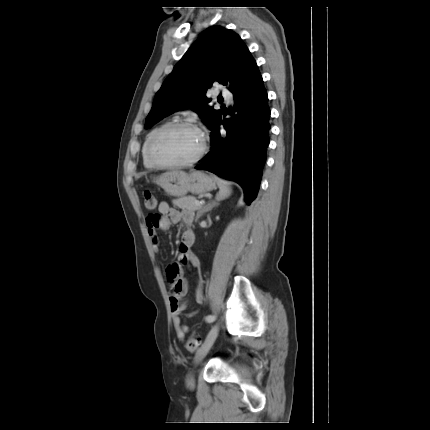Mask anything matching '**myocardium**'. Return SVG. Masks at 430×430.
<instances>
[{"mask_svg": "<svg viewBox=\"0 0 430 430\" xmlns=\"http://www.w3.org/2000/svg\"><path fill=\"white\" fill-rule=\"evenodd\" d=\"M178 128L192 129V130L198 131L201 134L202 147L200 151L193 158L182 162L168 163V162H162L158 160L153 154V146L155 142L164 134ZM207 148H208L207 137L198 126L188 121H175V122H170L166 124L164 127L160 128L157 132H155L151 136L147 144V157L150 160V162L158 168H163V169L183 168V167L194 165L195 163L199 162L206 154Z\"/></svg>", "mask_w": 430, "mask_h": 430, "instance_id": "1", "label": "myocardium"}]
</instances>
